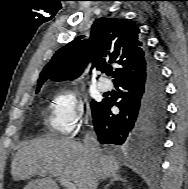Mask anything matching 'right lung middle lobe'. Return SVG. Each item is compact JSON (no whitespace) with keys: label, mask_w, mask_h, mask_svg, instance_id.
Returning <instances> with one entry per match:
<instances>
[{"label":"right lung middle lobe","mask_w":188,"mask_h":189,"mask_svg":"<svg viewBox=\"0 0 188 189\" xmlns=\"http://www.w3.org/2000/svg\"><path fill=\"white\" fill-rule=\"evenodd\" d=\"M39 91H36V93H38ZM100 105V102H95V101H92L91 102V110H92V114L96 111V109L98 108V106ZM160 146V145H159ZM156 149H158V147Z\"/></svg>","instance_id":"obj_1"}]
</instances>
